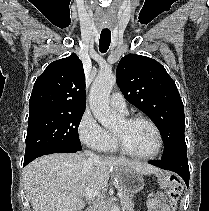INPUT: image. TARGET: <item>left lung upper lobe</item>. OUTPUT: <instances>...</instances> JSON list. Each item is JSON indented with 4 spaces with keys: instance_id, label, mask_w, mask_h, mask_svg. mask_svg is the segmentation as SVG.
Listing matches in <instances>:
<instances>
[{
    "instance_id": "5c2ea615",
    "label": "left lung upper lobe",
    "mask_w": 209,
    "mask_h": 211,
    "mask_svg": "<svg viewBox=\"0 0 209 211\" xmlns=\"http://www.w3.org/2000/svg\"><path fill=\"white\" fill-rule=\"evenodd\" d=\"M117 84L128 102L147 114L162 135V159L186 153L184 107L165 68L149 57L129 54L117 67Z\"/></svg>"
}]
</instances>
